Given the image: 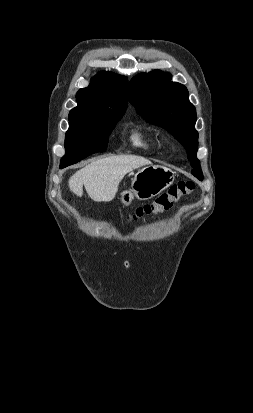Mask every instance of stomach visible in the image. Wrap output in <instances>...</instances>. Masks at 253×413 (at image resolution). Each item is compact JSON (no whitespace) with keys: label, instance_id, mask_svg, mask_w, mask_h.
Instances as JSON below:
<instances>
[{"label":"stomach","instance_id":"stomach-1","mask_svg":"<svg viewBox=\"0 0 253 413\" xmlns=\"http://www.w3.org/2000/svg\"><path fill=\"white\" fill-rule=\"evenodd\" d=\"M174 181V172L160 165H150L140 169L132 179L131 189L122 192L121 203L128 206L134 197L148 200L160 194Z\"/></svg>","mask_w":253,"mask_h":413}]
</instances>
